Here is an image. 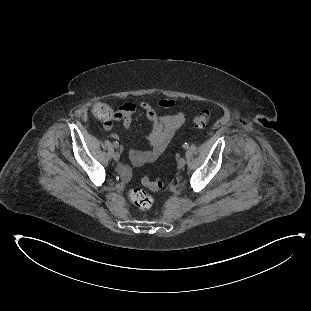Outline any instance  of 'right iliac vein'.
Here are the masks:
<instances>
[{"label": "right iliac vein", "mask_w": 311, "mask_h": 311, "mask_svg": "<svg viewBox=\"0 0 311 311\" xmlns=\"http://www.w3.org/2000/svg\"><path fill=\"white\" fill-rule=\"evenodd\" d=\"M113 159H114L115 161H119V159H120V154H119L118 152H114V154H113Z\"/></svg>", "instance_id": "1"}]
</instances>
